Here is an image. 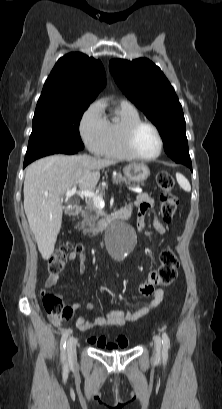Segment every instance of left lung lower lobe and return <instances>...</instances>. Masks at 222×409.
Returning a JSON list of instances; mask_svg holds the SVG:
<instances>
[{"instance_id":"1","label":"left lung lower lobe","mask_w":222,"mask_h":409,"mask_svg":"<svg viewBox=\"0 0 222 409\" xmlns=\"http://www.w3.org/2000/svg\"><path fill=\"white\" fill-rule=\"evenodd\" d=\"M176 163H180L183 165H186L188 168L191 169L192 171V163H191V159L190 158H183V159H179L175 161Z\"/></svg>"}]
</instances>
